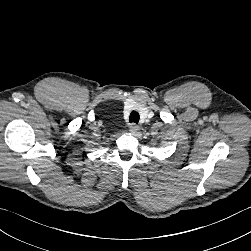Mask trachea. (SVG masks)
Segmentation results:
<instances>
[{
  "label": "trachea",
  "mask_w": 251,
  "mask_h": 251,
  "mask_svg": "<svg viewBox=\"0 0 251 251\" xmlns=\"http://www.w3.org/2000/svg\"><path fill=\"white\" fill-rule=\"evenodd\" d=\"M139 118V114L136 111H132L129 117V121L130 123L138 124Z\"/></svg>",
  "instance_id": "obj_1"
}]
</instances>
